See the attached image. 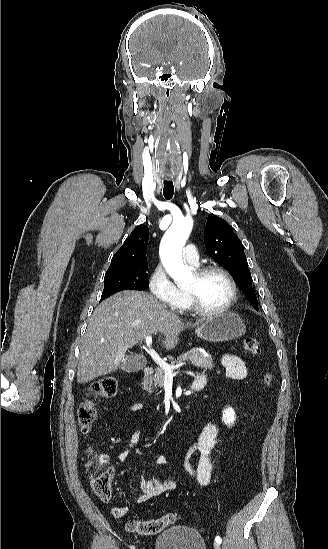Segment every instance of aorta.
Here are the masks:
<instances>
[{
  "instance_id": "aorta-1",
  "label": "aorta",
  "mask_w": 328,
  "mask_h": 549,
  "mask_svg": "<svg viewBox=\"0 0 328 549\" xmlns=\"http://www.w3.org/2000/svg\"><path fill=\"white\" fill-rule=\"evenodd\" d=\"M190 217L175 220L164 234L160 245V258L163 266L177 285L191 281L192 272L182 261V249L192 230Z\"/></svg>"
}]
</instances>
